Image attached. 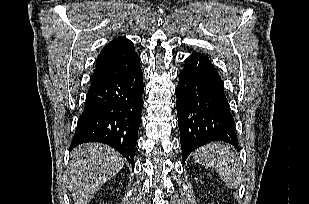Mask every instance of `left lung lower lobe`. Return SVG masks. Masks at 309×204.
I'll use <instances>...</instances> for the list:
<instances>
[{"mask_svg":"<svg viewBox=\"0 0 309 204\" xmlns=\"http://www.w3.org/2000/svg\"><path fill=\"white\" fill-rule=\"evenodd\" d=\"M176 95L183 162L193 150L210 142L225 141L238 148L221 77L207 57L193 54L185 59Z\"/></svg>","mask_w":309,"mask_h":204,"instance_id":"0a47b994","label":"left lung lower lobe"}]
</instances>
